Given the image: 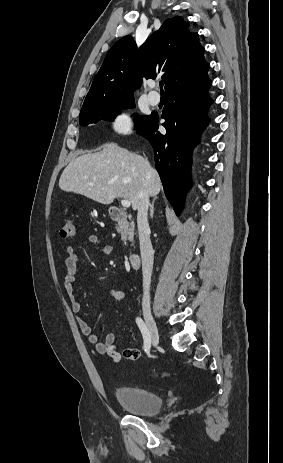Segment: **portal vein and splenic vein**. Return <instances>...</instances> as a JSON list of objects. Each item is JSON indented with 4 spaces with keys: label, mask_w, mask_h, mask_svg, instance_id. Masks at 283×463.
I'll return each instance as SVG.
<instances>
[{
    "label": "portal vein and splenic vein",
    "mask_w": 283,
    "mask_h": 463,
    "mask_svg": "<svg viewBox=\"0 0 283 463\" xmlns=\"http://www.w3.org/2000/svg\"><path fill=\"white\" fill-rule=\"evenodd\" d=\"M121 204L123 207L128 208L130 207V201L127 199H121Z\"/></svg>",
    "instance_id": "obj_1"
}]
</instances>
